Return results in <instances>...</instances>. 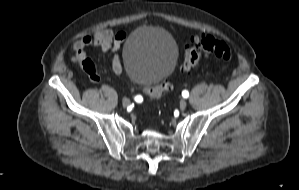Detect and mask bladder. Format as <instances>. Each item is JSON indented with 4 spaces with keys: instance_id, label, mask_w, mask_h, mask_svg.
Here are the masks:
<instances>
[{
    "instance_id": "obj_1",
    "label": "bladder",
    "mask_w": 299,
    "mask_h": 190,
    "mask_svg": "<svg viewBox=\"0 0 299 190\" xmlns=\"http://www.w3.org/2000/svg\"><path fill=\"white\" fill-rule=\"evenodd\" d=\"M178 60L172 36L159 28L142 27L126 40L122 61L128 77L139 84L156 85L168 77Z\"/></svg>"
}]
</instances>
